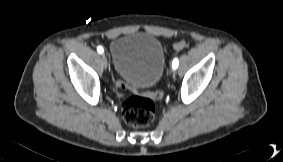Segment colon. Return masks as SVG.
<instances>
[{
	"label": "colon",
	"mask_w": 283,
	"mask_h": 162,
	"mask_svg": "<svg viewBox=\"0 0 283 162\" xmlns=\"http://www.w3.org/2000/svg\"><path fill=\"white\" fill-rule=\"evenodd\" d=\"M173 47L175 50H182L187 47V42L180 41L175 43ZM128 87L129 86L123 81L117 82L119 95L123 99L122 115L125 123L136 128L149 126L155 119V100L162 97V91L156 90L154 92L138 93L126 97L124 90Z\"/></svg>",
	"instance_id": "5ec220e1"
}]
</instances>
